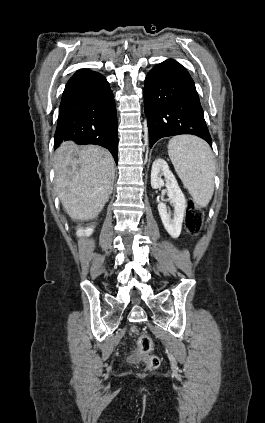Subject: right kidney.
Wrapping results in <instances>:
<instances>
[{
	"label": "right kidney",
	"instance_id": "1",
	"mask_svg": "<svg viewBox=\"0 0 265 423\" xmlns=\"http://www.w3.org/2000/svg\"><path fill=\"white\" fill-rule=\"evenodd\" d=\"M93 231H94L93 227H88L85 230L79 229L76 234H77V236H84V235L90 236L93 233Z\"/></svg>",
	"mask_w": 265,
	"mask_h": 423
}]
</instances>
